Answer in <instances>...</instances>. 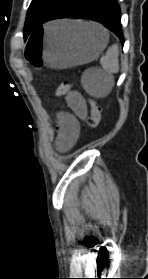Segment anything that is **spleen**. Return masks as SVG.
<instances>
[{
    "label": "spleen",
    "mask_w": 148,
    "mask_h": 279,
    "mask_svg": "<svg viewBox=\"0 0 148 279\" xmlns=\"http://www.w3.org/2000/svg\"><path fill=\"white\" fill-rule=\"evenodd\" d=\"M85 26L94 28L95 25L92 23H84ZM51 31L57 30L56 27H49ZM119 46L113 44L106 52L105 56L100 58V63L103 67V76L105 79L101 82L93 81L87 76H83L82 85L84 89L94 97H105L107 96L113 87V73L119 71Z\"/></svg>",
    "instance_id": "spleen-1"
}]
</instances>
